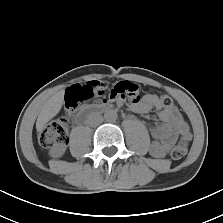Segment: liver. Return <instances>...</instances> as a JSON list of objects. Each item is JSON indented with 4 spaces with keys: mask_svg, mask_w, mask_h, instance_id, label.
I'll return each instance as SVG.
<instances>
[{
    "mask_svg": "<svg viewBox=\"0 0 223 223\" xmlns=\"http://www.w3.org/2000/svg\"><path fill=\"white\" fill-rule=\"evenodd\" d=\"M64 91L61 90L52 96L42 107L36 121V129L41 132L46 123L55 117L63 105Z\"/></svg>",
    "mask_w": 223,
    "mask_h": 223,
    "instance_id": "6515ba94",
    "label": "liver"
}]
</instances>
